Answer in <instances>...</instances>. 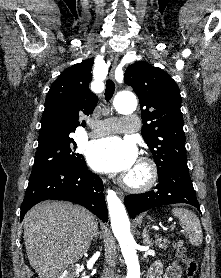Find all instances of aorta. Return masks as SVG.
I'll return each instance as SVG.
<instances>
[{"instance_id":"1","label":"aorta","mask_w":221,"mask_h":278,"mask_svg":"<svg viewBox=\"0 0 221 278\" xmlns=\"http://www.w3.org/2000/svg\"><path fill=\"white\" fill-rule=\"evenodd\" d=\"M136 105L137 100L132 93H119L114 99V107L120 113L131 112L136 108ZM106 199L112 231L120 244L127 265L126 278H140L136 242L130 232V222L126 209L113 190L108 189Z\"/></svg>"}]
</instances>
